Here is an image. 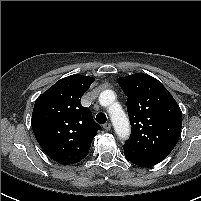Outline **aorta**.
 <instances>
[{
	"instance_id": "1",
	"label": "aorta",
	"mask_w": 201,
	"mask_h": 201,
	"mask_svg": "<svg viewBox=\"0 0 201 201\" xmlns=\"http://www.w3.org/2000/svg\"><path fill=\"white\" fill-rule=\"evenodd\" d=\"M99 101L104 106L116 108L115 111H110L111 121L114 125L117 135L121 138L126 137L129 133V121L120 105L116 103L115 93L112 90H105L101 92Z\"/></svg>"
}]
</instances>
